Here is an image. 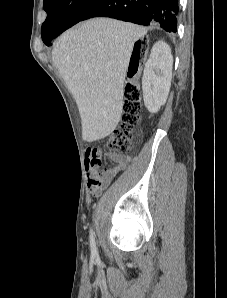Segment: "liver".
<instances>
[{"label":"liver","instance_id":"6515ba94","mask_svg":"<svg viewBox=\"0 0 227 298\" xmlns=\"http://www.w3.org/2000/svg\"><path fill=\"white\" fill-rule=\"evenodd\" d=\"M145 34L132 23L94 18L58 38L52 60L77 103L83 140L103 139L118 125L131 51Z\"/></svg>","mask_w":227,"mask_h":298}]
</instances>
